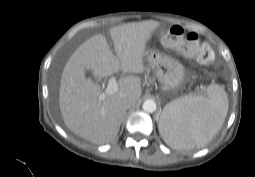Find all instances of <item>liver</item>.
<instances>
[{"label": "liver", "instance_id": "6515ba94", "mask_svg": "<svg viewBox=\"0 0 255 177\" xmlns=\"http://www.w3.org/2000/svg\"><path fill=\"white\" fill-rule=\"evenodd\" d=\"M158 26V22L149 20L111 28L110 36L117 55L110 50L102 34L89 38L76 49L63 69L59 89V107L68 129L99 145L117 137L125 115L122 102L126 97L140 99L141 79L134 75L121 77L118 91L100 100L101 87L86 78L85 69L91 70L98 79L120 70L143 73L147 42Z\"/></svg>", "mask_w": 255, "mask_h": 177}]
</instances>
